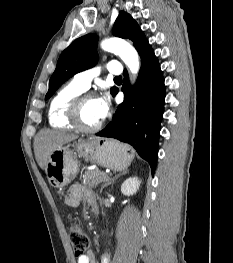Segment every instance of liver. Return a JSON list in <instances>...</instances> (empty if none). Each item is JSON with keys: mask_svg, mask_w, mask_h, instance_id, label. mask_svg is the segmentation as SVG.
Wrapping results in <instances>:
<instances>
[{"mask_svg": "<svg viewBox=\"0 0 233 263\" xmlns=\"http://www.w3.org/2000/svg\"><path fill=\"white\" fill-rule=\"evenodd\" d=\"M77 138V135L64 131L40 130L34 139V152L39 167L45 170L52 152Z\"/></svg>", "mask_w": 233, "mask_h": 263, "instance_id": "6515ba94", "label": "liver"}]
</instances>
